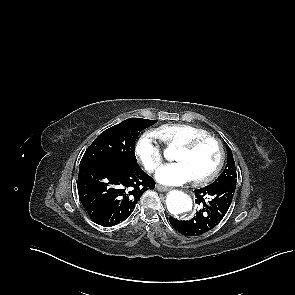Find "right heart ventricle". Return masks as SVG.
I'll return each instance as SVG.
<instances>
[{"instance_id": "right-heart-ventricle-1", "label": "right heart ventricle", "mask_w": 295, "mask_h": 295, "mask_svg": "<svg viewBox=\"0 0 295 295\" xmlns=\"http://www.w3.org/2000/svg\"><path fill=\"white\" fill-rule=\"evenodd\" d=\"M154 133L168 147H181L192 139L209 134L206 130L188 124H166Z\"/></svg>"}]
</instances>
